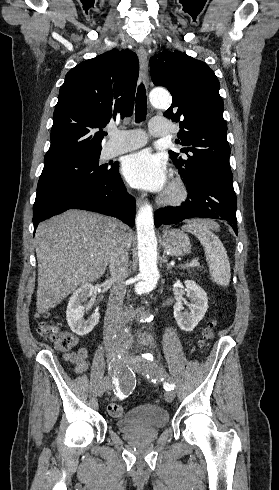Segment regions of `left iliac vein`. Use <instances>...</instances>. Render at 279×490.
Here are the masks:
<instances>
[{
	"label": "left iliac vein",
	"instance_id": "4c4485c4",
	"mask_svg": "<svg viewBox=\"0 0 279 490\" xmlns=\"http://www.w3.org/2000/svg\"><path fill=\"white\" fill-rule=\"evenodd\" d=\"M143 364L147 365V367H149V370L154 372V373H158L160 374L161 376L163 377H166L167 379H170L171 381L173 380L171 377H169L166 373V371L164 370V368L162 367V365H160L158 363L157 360H154V359H149V358H145L143 359ZM174 397H175V392L174 391H169L165 394V398H166V401L168 403H171L173 400H174Z\"/></svg>",
	"mask_w": 279,
	"mask_h": 490
}]
</instances>
